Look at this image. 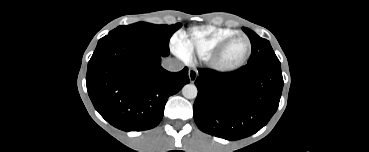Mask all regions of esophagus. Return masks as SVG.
Instances as JSON below:
<instances>
[{"instance_id": "1", "label": "esophagus", "mask_w": 369, "mask_h": 152, "mask_svg": "<svg viewBox=\"0 0 369 152\" xmlns=\"http://www.w3.org/2000/svg\"><path fill=\"white\" fill-rule=\"evenodd\" d=\"M188 76L191 82H194L198 77V71L196 69H190L188 72Z\"/></svg>"}]
</instances>
